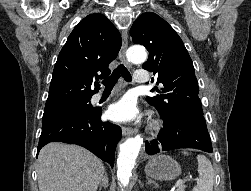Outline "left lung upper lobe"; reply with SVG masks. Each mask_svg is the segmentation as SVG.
<instances>
[{"mask_svg": "<svg viewBox=\"0 0 251 191\" xmlns=\"http://www.w3.org/2000/svg\"><path fill=\"white\" fill-rule=\"evenodd\" d=\"M130 35L135 44L149 51L142 68L152 71L157 84L163 85L152 90L159 94L146 100L158 110L164 123L185 111L203 113L192 60L175 30L157 14L147 12L136 19Z\"/></svg>", "mask_w": 251, "mask_h": 191, "instance_id": "5c2ea615", "label": "left lung upper lobe"}]
</instances>
